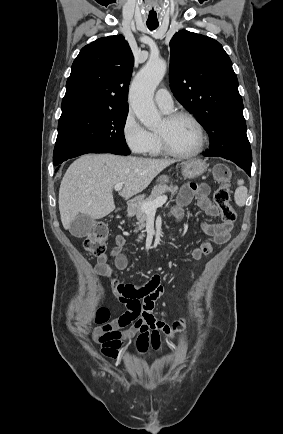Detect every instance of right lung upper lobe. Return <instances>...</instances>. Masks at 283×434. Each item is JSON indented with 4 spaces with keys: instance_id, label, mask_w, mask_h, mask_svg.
Wrapping results in <instances>:
<instances>
[{
    "instance_id": "obj_1",
    "label": "right lung upper lobe",
    "mask_w": 283,
    "mask_h": 434,
    "mask_svg": "<svg viewBox=\"0 0 283 434\" xmlns=\"http://www.w3.org/2000/svg\"><path fill=\"white\" fill-rule=\"evenodd\" d=\"M134 57L122 35L100 38L80 50L71 68L61 117L128 109Z\"/></svg>"
}]
</instances>
